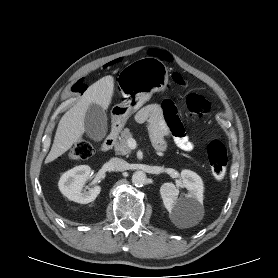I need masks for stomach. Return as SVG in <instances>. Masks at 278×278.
<instances>
[{
    "instance_id": "0dacf381",
    "label": "stomach",
    "mask_w": 278,
    "mask_h": 278,
    "mask_svg": "<svg viewBox=\"0 0 278 278\" xmlns=\"http://www.w3.org/2000/svg\"><path fill=\"white\" fill-rule=\"evenodd\" d=\"M168 84V68L159 59L145 57L123 68L118 76V86L125 100L111 110L115 128L125 125L153 93L165 91Z\"/></svg>"
}]
</instances>
